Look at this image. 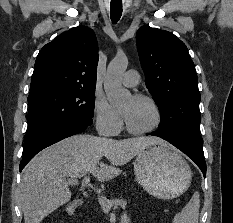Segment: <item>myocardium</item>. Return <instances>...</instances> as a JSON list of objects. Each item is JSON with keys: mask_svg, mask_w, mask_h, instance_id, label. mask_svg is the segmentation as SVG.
<instances>
[{"mask_svg": "<svg viewBox=\"0 0 233 223\" xmlns=\"http://www.w3.org/2000/svg\"><path fill=\"white\" fill-rule=\"evenodd\" d=\"M133 98L145 100L153 107L155 114H156V123L152 128H150L148 130L137 131V130L131 128L125 120L124 124H125V128H126L127 132L131 135H134V136H145V135H149V134L154 133L157 130H159L163 124V113H162V110H161L159 104L156 102V100L148 95H145V94H135V95H133Z\"/></svg>", "mask_w": 233, "mask_h": 223, "instance_id": "myocardium-1", "label": "myocardium"}]
</instances>
